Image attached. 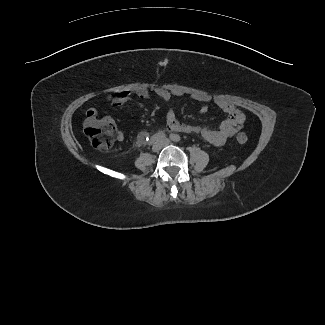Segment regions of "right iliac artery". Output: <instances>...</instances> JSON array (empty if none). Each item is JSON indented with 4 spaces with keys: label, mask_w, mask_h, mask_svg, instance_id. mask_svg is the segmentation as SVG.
<instances>
[{
    "label": "right iliac artery",
    "mask_w": 325,
    "mask_h": 325,
    "mask_svg": "<svg viewBox=\"0 0 325 325\" xmlns=\"http://www.w3.org/2000/svg\"><path fill=\"white\" fill-rule=\"evenodd\" d=\"M165 138V134L162 132L156 133L155 135H153L150 140H149V144H154L158 141H161Z\"/></svg>",
    "instance_id": "obj_1"
}]
</instances>
